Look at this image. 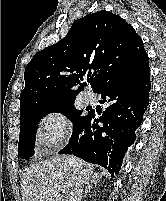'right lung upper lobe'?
<instances>
[{
  "instance_id": "cb5924a9",
  "label": "right lung upper lobe",
  "mask_w": 166,
  "mask_h": 201,
  "mask_svg": "<svg viewBox=\"0 0 166 201\" xmlns=\"http://www.w3.org/2000/svg\"><path fill=\"white\" fill-rule=\"evenodd\" d=\"M145 54L134 28L111 12L102 10L75 20L63 39L38 52L27 65L20 115L74 102L84 76L95 92Z\"/></svg>"
}]
</instances>
